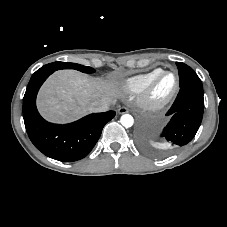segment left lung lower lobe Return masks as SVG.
Wrapping results in <instances>:
<instances>
[{
    "mask_svg": "<svg viewBox=\"0 0 227 227\" xmlns=\"http://www.w3.org/2000/svg\"><path fill=\"white\" fill-rule=\"evenodd\" d=\"M203 110V89L190 85L180 87L173 105L166 113L171 119L161 133L163 148L176 151L188 144L200 127ZM139 143L148 147L142 134L139 136Z\"/></svg>",
    "mask_w": 227,
    "mask_h": 227,
    "instance_id": "left-lung-lower-lobe-1",
    "label": "left lung lower lobe"
}]
</instances>
